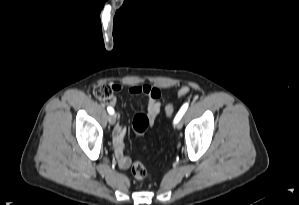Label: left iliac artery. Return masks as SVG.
Wrapping results in <instances>:
<instances>
[{
	"instance_id": "1",
	"label": "left iliac artery",
	"mask_w": 299,
	"mask_h": 205,
	"mask_svg": "<svg viewBox=\"0 0 299 205\" xmlns=\"http://www.w3.org/2000/svg\"><path fill=\"white\" fill-rule=\"evenodd\" d=\"M189 106V103H185L183 104V106L180 108L179 112L177 113L175 119H174V123L176 124L178 121H180V119L182 118V116L184 115V113L186 112L187 108Z\"/></svg>"
}]
</instances>
